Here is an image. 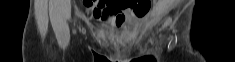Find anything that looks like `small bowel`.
<instances>
[{
	"label": "small bowel",
	"instance_id": "c3829d8e",
	"mask_svg": "<svg viewBox=\"0 0 235 62\" xmlns=\"http://www.w3.org/2000/svg\"><path fill=\"white\" fill-rule=\"evenodd\" d=\"M132 6L133 2L130 3L129 1L105 0L98 3L93 15L95 18H116L117 24H120L124 19L122 11Z\"/></svg>",
	"mask_w": 235,
	"mask_h": 62
}]
</instances>
